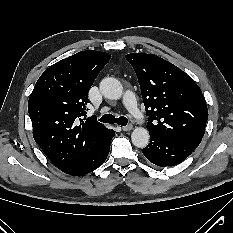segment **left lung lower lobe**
I'll return each instance as SVG.
<instances>
[{
	"mask_svg": "<svg viewBox=\"0 0 233 233\" xmlns=\"http://www.w3.org/2000/svg\"><path fill=\"white\" fill-rule=\"evenodd\" d=\"M195 146L150 133V143L142 149L144 156L159 167L174 166L186 159Z\"/></svg>",
	"mask_w": 233,
	"mask_h": 233,
	"instance_id": "left-lung-lower-lobe-1",
	"label": "left lung lower lobe"
}]
</instances>
